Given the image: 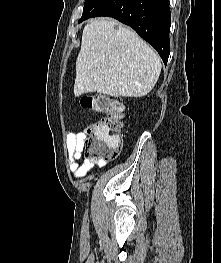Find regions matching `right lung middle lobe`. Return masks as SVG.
<instances>
[{"label": "right lung middle lobe", "instance_id": "right-lung-middle-lobe-1", "mask_svg": "<svg viewBox=\"0 0 221 263\" xmlns=\"http://www.w3.org/2000/svg\"><path fill=\"white\" fill-rule=\"evenodd\" d=\"M108 0H85L83 15L78 23L90 18Z\"/></svg>", "mask_w": 221, "mask_h": 263}]
</instances>
